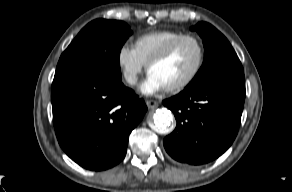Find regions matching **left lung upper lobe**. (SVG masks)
<instances>
[{
	"label": "left lung upper lobe",
	"instance_id": "1",
	"mask_svg": "<svg viewBox=\"0 0 292 192\" xmlns=\"http://www.w3.org/2000/svg\"><path fill=\"white\" fill-rule=\"evenodd\" d=\"M191 30L197 31L203 39L205 58L202 67L186 88L222 79L244 80L241 62L223 34L206 22L198 23Z\"/></svg>",
	"mask_w": 292,
	"mask_h": 192
}]
</instances>
